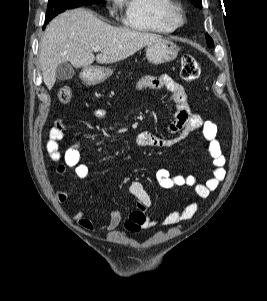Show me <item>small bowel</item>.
<instances>
[{"label": "small bowel", "mask_w": 267, "mask_h": 301, "mask_svg": "<svg viewBox=\"0 0 267 301\" xmlns=\"http://www.w3.org/2000/svg\"><path fill=\"white\" fill-rule=\"evenodd\" d=\"M138 90H166L171 94L172 100L176 106L174 120L169 125V131L172 134L169 138H160L149 132H141L136 137V144L144 148H165L171 147L184 140L190 133L197 129H202L203 137L207 143L208 153L212 159V176L204 183H198L196 178L191 175L172 174L167 169H159L156 172V180L164 189H175L178 187L193 186L198 198H207L210 193L215 191L226 176L225 163L226 158L221 151L219 141L217 140V125L214 122L204 120L199 114L191 112L188 104L187 94L178 82L169 75L144 76L136 85ZM97 117H103V109H96ZM65 134V124L61 120L55 121L49 131V138L46 144L47 151L53 161L58 162L57 173L63 175L68 168L74 170L77 178L90 186L89 168L80 162V144L70 146L64 153L59 150V143ZM131 194L137 199V210L131 213L124 223V228L129 232H137L141 229H150L158 224L174 225L181 221L191 219L198 210V203L193 202L190 205L171 211L161 219L149 218L145 211L151 206V199L145 191L143 185L135 181L130 186ZM59 202H65L68 199L67 190L60 189L55 193ZM72 219L78 225L87 230L93 231L95 224L86 218L82 211L75 210ZM122 218L119 212L112 210L108 218L100 224V228L107 232H112L121 224Z\"/></svg>", "instance_id": "1"}]
</instances>
